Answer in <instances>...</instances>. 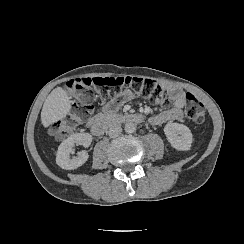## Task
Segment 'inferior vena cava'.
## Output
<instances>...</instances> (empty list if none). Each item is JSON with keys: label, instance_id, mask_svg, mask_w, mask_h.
<instances>
[{"label": "inferior vena cava", "instance_id": "inferior-vena-cava-1", "mask_svg": "<svg viewBox=\"0 0 244 244\" xmlns=\"http://www.w3.org/2000/svg\"><path fill=\"white\" fill-rule=\"evenodd\" d=\"M122 132V128L119 125H113L109 128L108 135L111 138L118 137Z\"/></svg>", "mask_w": 244, "mask_h": 244}]
</instances>
